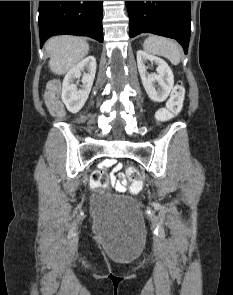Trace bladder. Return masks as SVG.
<instances>
[{"mask_svg":"<svg viewBox=\"0 0 233 295\" xmlns=\"http://www.w3.org/2000/svg\"><path fill=\"white\" fill-rule=\"evenodd\" d=\"M90 205L99 221L137 220L138 204L128 196L97 188L91 196Z\"/></svg>","mask_w":233,"mask_h":295,"instance_id":"31cf9c89","label":"bladder"}]
</instances>
